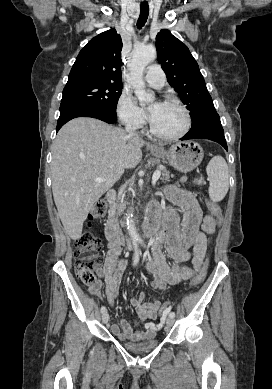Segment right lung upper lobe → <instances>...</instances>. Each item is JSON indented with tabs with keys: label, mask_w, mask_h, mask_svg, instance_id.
<instances>
[{
	"label": "right lung upper lobe",
	"mask_w": 272,
	"mask_h": 389,
	"mask_svg": "<svg viewBox=\"0 0 272 389\" xmlns=\"http://www.w3.org/2000/svg\"><path fill=\"white\" fill-rule=\"evenodd\" d=\"M121 50L122 40L115 29L97 35L80 51L67 84L89 80L122 84Z\"/></svg>",
	"instance_id": "right-lung-upper-lobe-1"
}]
</instances>
